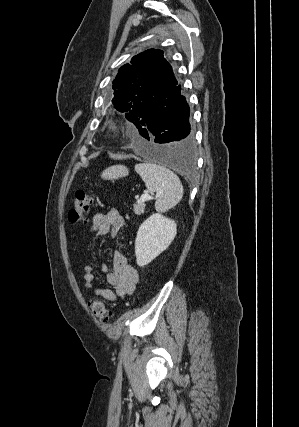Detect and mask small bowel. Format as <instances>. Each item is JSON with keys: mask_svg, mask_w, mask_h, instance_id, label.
<instances>
[{"mask_svg": "<svg viewBox=\"0 0 299 427\" xmlns=\"http://www.w3.org/2000/svg\"><path fill=\"white\" fill-rule=\"evenodd\" d=\"M125 221L116 209H111L107 213H97L93 216L90 223V230L98 235L116 237L123 229ZM113 270L110 271L107 266L103 267L106 275V282L109 288H94V267L89 260L84 263V288L93 290L97 297L108 301H118L131 295L138 282L137 270L128 262L127 258L121 252H115L112 259Z\"/></svg>", "mask_w": 299, "mask_h": 427, "instance_id": "c3829d8e", "label": "small bowel"}]
</instances>
